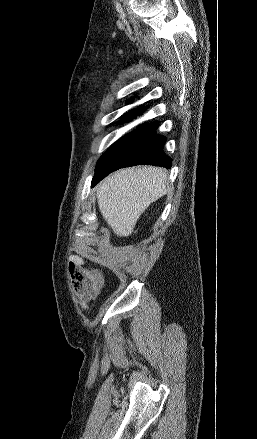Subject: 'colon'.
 <instances>
[{
  "instance_id": "1",
  "label": "colon",
  "mask_w": 257,
  "mask_h": 439,
  "mask_svg": "<svg viewBox=\"0 0 257 439\" xmlns=\"http://www.w3.org/2000/svg\"><path fill=\"white\" fill-rule=\"evenodd\" d=\"M70 275L74 290L83 300L95 298L101 293L104 277L98 270L71 265Z\"/></svg>"
}]
</instances>
